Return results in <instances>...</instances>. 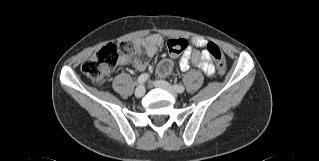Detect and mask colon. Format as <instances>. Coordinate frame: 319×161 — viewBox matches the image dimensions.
<instances>
[{
	"label": "colon",
	"mask_w": 319,
	"mask_h": 161,
	"mask_svg": "<svg viewBox=\"0 0 319 161\" xmlns=\"http://www.w3.org/2000/svg\"><path fill=\"white\" fill-rule=\"evenodd\" d=\"M167 47L169 52L172 54L188 51V43L185 40H169ZM206 50L214 58L218 68V73L223 75L226 71V61L220 47L214 42H208L206 44ZM134 52L135 50L132 43L129 41L110 43L85 61L82 65V72L95 84L102 85L106 81L110 71L116 67L120 55L131 56ZM170 70V61L164 60L160 62V73H168Z\"/></svg>",
	"instance_id": "colon-1"
}]
</instances>
